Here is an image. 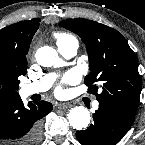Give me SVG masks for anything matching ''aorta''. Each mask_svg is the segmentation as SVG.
I'll list each match as a JSON object with an SVG mask.
<instances>
[{"label": "aorta", "mask_w": 145, "mask_h": 145, "mask_svg": "<svg viewBox=\"0 0 145 145\" xmlns=\"http://www.w3.org/2000/svg\"><path fill=\"white\" fill-rule=\"evenodd\" d=\"M35 57L37 63L43 67H51L53 65L60 67L63 65V61L58 57L57 51L50 46L38 48ZM90 119L89 111L82 106H76L68 113L70 126L77 130L86 128L90 123Z\"/></svg>", "instance_id": "762f6f07"}]
</instances>
